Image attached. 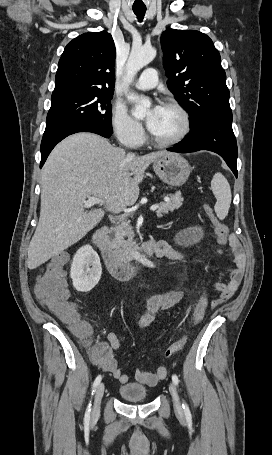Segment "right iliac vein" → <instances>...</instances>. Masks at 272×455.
<instances>
[{"label": "right iliac vein", "mask_w": 272, "mask_h": 455, "mask_svg": "<svg viewBox=\"0 0 272 455\" xmlns=\"http://www.w3.org/2000/svg\"><path fill=\"white\" fill-rule=\"evenodd\" d=\"M104 389H105V387H104L103 383H100L97 387L95 399H94L93 410H92L93 416H97L100 412V404H101V400H102V397L104 394Z\"/></svg>", "instance_id": "1"}]
</instances>
